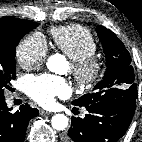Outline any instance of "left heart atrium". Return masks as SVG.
Wrapping results in <instances>:
<instances>
[{
    "label": "left heart atrium",
    "mask_w": 142,
    "mask_h": 142,
    "mask_svg": "<svg viewBox=\"0 0 142 142\" xmlns=\"http://www.w3.org/2000/svg\"><path fill=\"white\" fill-rule=\"evenodd\" d=\"M26 92L40 105L48 106L56 97L67 96L69 85L64 78L44 74L29 77L26 80Z\"/></svg>",
    "instance_id": "1"
}]
</instances>
